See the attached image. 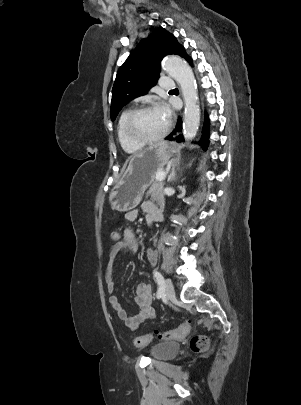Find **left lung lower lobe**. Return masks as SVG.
<instances>
[{
  "label": "left lung lower lobe",
  "instance_id": "left-lung-lower-lobe-1",
  "mask_svg": "<svg viewBox=\"0 0 301 405\" xmlns=\"http://www.w3.org/2000/svg\"><path fill=\"white\" fill-rule=\"evenodd\" d=\"M190 64L192 63V59L188 56V58L186 59ZM182 129V121L180 118H178V122H177V126H176V131H180ZM175 132L171 133L169 136L166 137V139L168 140H176L178 142L183 141V136L182 135H178L176 138H173V134ZM199 145H201L204 149L207 148L208 143H209V130H208V119L207 117L205 118V122H204V126H203V130H202V136L200 141L198 142Z\"/></svg>",
  "mask_w": 301,
  "mask_h": 405
}]
</instances>
